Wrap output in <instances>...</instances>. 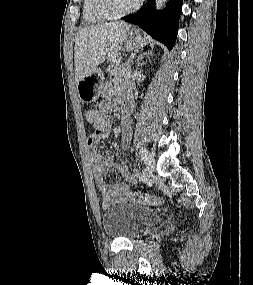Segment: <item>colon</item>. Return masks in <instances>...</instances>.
I'll return each instance as SVG.
<instances>
[{"label":"colon","instance_id":"colon-1","mask_svg":"<svg viewBox=\"0 0 253 285\" xmlns=\"http://www.w3.org/2000/svg\"><path fill=\"white\" fill-rule=\"evenodd\" d=\"M85 117L88 122L90 123L94 122L96 119V110L94 109L87 110L85 113ZM128 199L133 203L142 204V205L163 204V200L160 197L148 193L129 192Z\"/></svg>","mask_w":253,"mask_h":285}]
</instances>
